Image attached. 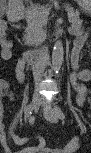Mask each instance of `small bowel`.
Instances as JSON below:
<instances>
[{"label": "small bowel", "instance_id": "1", "mask_svg": "<svg viewBox=\"0 0 91 153\" xmlns=\"http://www.w3.org/2000/svg\"><path fill=\"white\" fill-rule=\"evenodd\" d=\"M0 34L2 36H4L6 34V29L3 28V31H0ZM8 51H9V43L6 42L4 44V54L7 55ZM73 64H74V70H73L72 76H73V79L76 80L79 77V70H77V68L75 66L76 58H74ZM23 71H24V66L22 64H20L17 67V71H16L17 78L19 81L23 80V77H24ZM76 89L78 92V97H77L78 103L83 104L86 100V90L82 85H78V84H76ZM6 96L9 97L11 100H13V96L10 93H6ZM12 139H13L14 143L17 145H23L27 142L26 138H22L17 135H12ZM0 140H1V143L3 144V146H5L6 145V135L3 131L1 132ZM39 141H40V145L38 147L27 148L23 152L24 153H35V152L74 153L75 151H77V149L80 146V140L78 138L71 140L66 146H64L63 148H58V149H52V148L48 147L45 144L43 139H40Z\"/></svg>", "mask_w": 91, "mask_h": 153}]
</instances>
